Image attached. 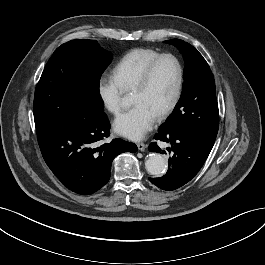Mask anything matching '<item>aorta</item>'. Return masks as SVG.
<instances>
[{"label":"aorta","mask_w":265,"mask_h":265,"mask_svg":"<svg viewBox=\"0 0 265 265\" xmlns=\"http://www.w3.org/2000/svg\"><path fill=\"white\" fill-rule=\"evenodd\" d=\"M145 167L149 174L160 177L165 173L167 163L161 154L153 153L146 160Z\"/></svg>","instance_id":"obj_1"}]
</instances>
